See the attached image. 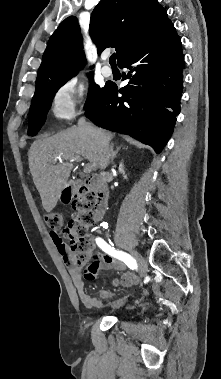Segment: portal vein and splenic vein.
<instances>
[{
	"label": "portal vein and splenic vein",
	"instance_id": "18ae733b",
	"mask_svg": "<svg viewBox=\"0 0 221 379\" xmlns=\"http://www.w3.org/2000/svg\"><path fill=\"white\" fill-rule=\"evenodd\" d=\"M59 160L60 162H62V159L60 157L56 158L55 161ZM70 162H75V161H80L81 159L79 157H72V158H69ZM92 171V166L91 164H86L85 167H84V172L85 173H90Z\"/></svg>",
	"mask_w": 221,
	"mask_h": 379
}]
</instances>
